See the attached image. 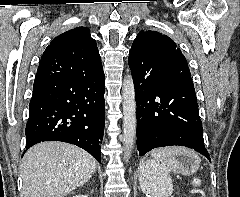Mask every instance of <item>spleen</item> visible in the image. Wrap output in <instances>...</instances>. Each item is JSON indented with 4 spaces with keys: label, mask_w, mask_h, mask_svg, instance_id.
Returning <instances> with one entry per match:
<instances>
[{
    "label": "spleen",
    "mask_w": 240,
    "mask_h": 197,
    "mask_svg": "<svg viewBox=\"0 0 240 197\" xmlns=\"http://www.w3.org/2000/svg\"><path fill=\"white\" fill-rule=\"evenodd\" d=\"M194 156L195 152L183 147L158 148L152 151V159L147 160L140 172L143 192L148 197H169L173 192V183L169 166L175 156Z\"/></svg>",
    "instance_id": "3e777b00"
}]
</instances>
